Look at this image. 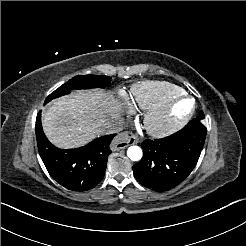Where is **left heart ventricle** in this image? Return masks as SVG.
<instances>
[{"mask_svg": "<svg viewBox=\"0 0 246 246\" xmlns=\"http://www.w3.org/2000/svg\"><path fill=\"white\" fill-rule=\"evenodd\" d=\"M186 103H180L179 105H177L173 111L172 114L165 116L164 118H162V120L160 121V123L165 124L170 122L171 120H173L176 117V112L179 111L180 108L183 107V105Z\"/></svg>", "mask_w": 246, "mask_h": 246, "instance_id": "b2bd125f", "label": "left heart ventricle"}]
</instances>
